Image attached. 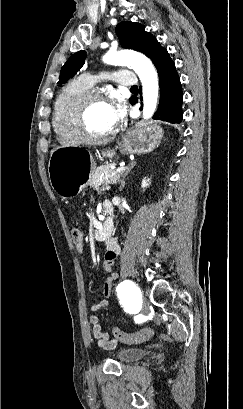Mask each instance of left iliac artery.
Returning <instances> with one entry per match:
<instances>
[{
  "mask_svg": "<svg viewBox=\"0 0 243 409\" xmlns=\"http://www.w3.org/2000/svg\"><path fill=\"white\" fill-rule=\"evenodd\" d=\"M117 293L118 297L120 299H125L129 298L134 304L138 305V300H141V291L140 289L132 282L129 280H126L122 282L120 285L117 287ZM122 301L120 300V303Z\"/></svg>",
  "mask_w": 243,
  "mask_h": 409,
  "instance_id": "44dca946",
  "label": "left iliac artery"
}]
</instances>
